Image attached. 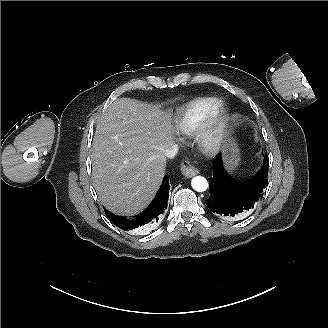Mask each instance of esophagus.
Listing matches in <instances>:
<instances>
[{
  "mask_svg": "<svg viewBox=\"0 0 328 328\" xmlns=\"http://www.w3.org/2000/svg\"><path fill=\"white\" fill-rule=\"evenodd\" d=\"M181 173L185 176V177H193L195 175H197L199 173V170L194 167L189 161L184 160L182 161L181 165Z\"/></svg>",
  "mask_w": 328,
  "mask_h": 328,
  "instance_id": "obj_1",
  "label": "esophagus"
}]
</instances>
